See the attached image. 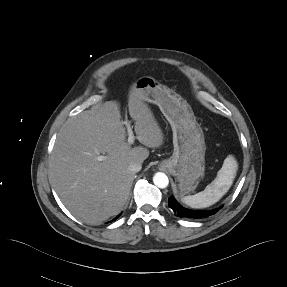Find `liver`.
<instances>
[{
    "mask_svg": "<svg viewBox=\"0 0 287 287\" xmlns=\"http://www.w3.org/2000/svg\"><path fill=\"white\" fill-rule=\"evenodd\" d=\"M128 110L137 139L145 147H131L116 102L69 119L58 133L50 161V178L66 208L89 224H98L123 208L135 178L129 170L143 163L147 148L163 144V132L151 109L131 87ZM100 154L106 159L98 161Z\"/></svg>",
    "mask_w": 287,
    "mask_h": 287,
    "instance_id": "obj_1",
    "label": "liver"
}]
</instances>
